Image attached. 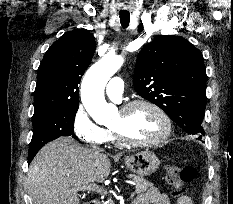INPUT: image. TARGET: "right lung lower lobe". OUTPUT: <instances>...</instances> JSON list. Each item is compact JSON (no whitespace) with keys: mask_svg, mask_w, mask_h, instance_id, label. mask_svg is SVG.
Returning a JSON list of instances; mask_svg holds the SVG:
<instances>
[{"mask_svg":"<svg viewBox=\"0 0 233 204\" xmlns=\"http://www.w3.org/2000/svg\"><path fill=\"white\" fill-rule=\"evenodd\" d=\"M42 148V147H41ZM41 148H30L29 153H28V164L32 161L36 153L41 149Z\"/></svg>","mask_w":233,"mask_h":204,"instance_id":"obj_1","label":"right lung lower lobe"}]
</instances>
